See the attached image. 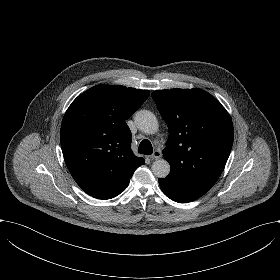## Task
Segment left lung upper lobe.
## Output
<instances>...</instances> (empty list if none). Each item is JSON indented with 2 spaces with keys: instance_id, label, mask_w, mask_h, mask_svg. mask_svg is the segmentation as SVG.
<instances>
[{
  "instance_id": "5c2ea615",
  "label": "left lung upper lobe",
  "mask_w": 280,
  "mask_h": 280,
  "mask_svg": "<svg viewBox=\"0 0 280 280\" xmlns=\"http://www.w3.org/2000/svg\"><path fill=\"white\" fill-rule=\"evenodd\" d=\"M152 98L169 130L163 155L171 171L164 179L181 189H210L233 145L230 115L211 94L197 88L157 90Z\"/></svg>"
}]
</instances>
